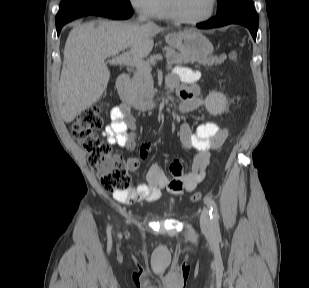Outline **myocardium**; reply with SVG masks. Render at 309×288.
<instances>
[{"label": "myocardium", "instance_id": "1", "mask_svg": "<svg viewBox=\"0 0 309 288\" xmlns=\"http://www.w3.org/2000/svg\"><path fill=\"white\" fill-rule=\"evenodd\" d=\"M164 1H165V9H166L167 16L170 19H172V20H174L178 23L184 24V25L203 24V23L209 21L214 16L216 9H217V0H211L210 10L205 16L197 18V19H187V18H183V17L179 16L174 11L171 0H164Z\"/></svg>", "mask_w": 309, "mask_h": 288}]
</instances>
